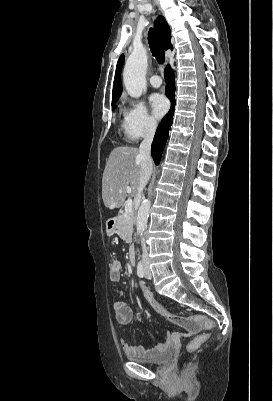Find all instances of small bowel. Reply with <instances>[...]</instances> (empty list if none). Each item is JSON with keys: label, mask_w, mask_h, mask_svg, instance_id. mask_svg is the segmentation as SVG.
Here are the masks:
<instances>
[{"label": "small bowel", "mask_w": 273, "mask_h": 401, "mask_svg": "<svg viewBox=\"0 0 273 401\" xmlns=\"http://www.w3.org/2000/svg\"><path fill=\"white\" fill-rule=\"evenodd\" d=\"M121 262L119 260H113L110 265H109V280L112 283H116L120 280L121 278ZM143 284V283H139ZM113 310L115 312V319L119 324H128L131 322L133 319V312L131 308L123 301H116L113 303ZM170 320V319H169ZM171 321V320H170ZM177 321H185V316H180V318ZM187 338L189 336V333L187 331H182L181 333L179 331H176L173 334L168 335V339L158 345L154 349L146 350L141 347H136L128 344L127 342H122V348L123 350L134 357H155L157 356L161 351L164 349L168 348L171 345L172 340L175 338Z\"/></svg>", "instance_id": "c3829d8e"}]
</instances>
